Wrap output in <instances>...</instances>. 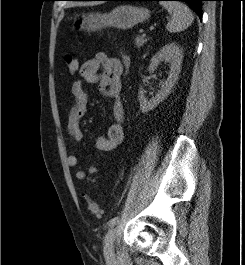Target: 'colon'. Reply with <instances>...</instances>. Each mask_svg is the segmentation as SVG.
Listing matches in <instances>:
<instances>
[{"label":"colon","mask_w":245,"mask_h":265,"mask_svg":"<svg viewBox=\"0 0 245 265\" xmlns=\"http://www.w3.org/2000/svg\"><path fill=\"white\" fill-rule=\"evenodd\" d=\"M118 59L120 60L124 68L128 66L129 58L124 53H122ZM65 63L71 73H74L78 70L79 62H78V59L74 55L66 54ZM95 171L96 169L94 167L90 168L91 173H95ZM88 207H89V210L95 215H99L101 212L99 205L95 201L89 198H88Z\"/></svg>","instance_id":"5ec220e1"}]
</instances>
